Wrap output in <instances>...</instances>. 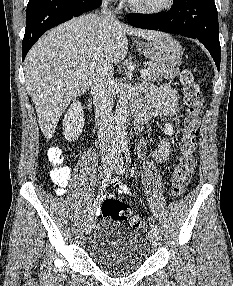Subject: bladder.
Segmentation results:
<instances>
[{"mask_svg": "<svg viewBox=\"0 0 233 286\" xmlns=\"http://www.w3.org/2000/svg\"><path fill=\"white\" fill-rule=\"evenodd\" d=\"M88 250L94 264L108 272L135 271L150 253L141 233L115 219L104 221L95 230Z\"/></svg>", "mask_w": 233, "mask_h": 286, "instance_id": "31cf9c89", "label": "bladder"}]
</instances>
